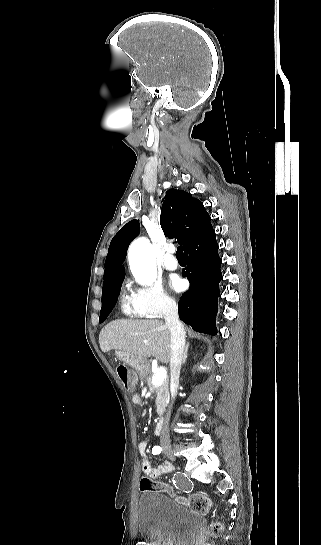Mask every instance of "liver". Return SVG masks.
I'll use <instances>...</instances> for the list:
<instances>
[{
    "label": "liver",
    "instance_id": "1",
    "mask_svg": "<svg viewBox=\"0 0 321 545\" xmlns=\"http://www.w3.org/2000/svg\"><path fill=\"white\" fill-rule=\"evenodd\" d=\"M99 345L103 353L117 349L136 357H155L161 363L172 357L170 329L158 319L111 321L100 331Z\"/></svg>",
    "mask_w": 321,
    "mask_h": 545
}]
</instances>
